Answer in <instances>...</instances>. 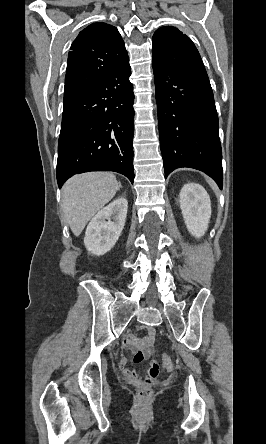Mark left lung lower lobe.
I'll list each match as a JSON object with an SVG mask.
<instances>
[{
    "instance_id": "obj_1",
    "label": "left lung lower lobe",
    "mask_w": 266,
    "mask_h": 444,
    "mask_svg": "<svg viewBox=\"0 0 266 444\" xmlns=\"http://www.w3.org/2000/svg\"><path fill=\"white\" fill-rule=\"evenodd\" d=\"M153 71L165 178L190 167L222 189L219 123L208 75L177 72L154 59Z\"/></svg>"
}]
</instances>
